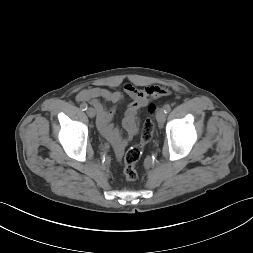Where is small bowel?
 I'll return each mask as SVG.
<instances>
[{
    "label": "small bowel",
    "mask_w": 253,
    "mask_h": 253,
    "mask_svg": "<svg viewBox=\"0 0 253 253\" xmlns=\"http://www.w3.org/2000/svg\"><path fill=\"white\" fill-rule=\"evenodd\" d=\"M159 88L157 86H151L140 89L131 84L125 86V93L131 98L122 122L126 131L125 137L122 136L120 130L112 123L115 108L108 109L103 103V101H107L118 104L124 98L123 93L101 87H91L81 90L77 94V100L93 105L97 114L99 131L112 144L116 154L121 156L129 141L137 133L139 110L146 106L150 100L159 97L157 93Z\"/></svg>",
    "instance_id": "small-bowel-1"
}]
</instances>
